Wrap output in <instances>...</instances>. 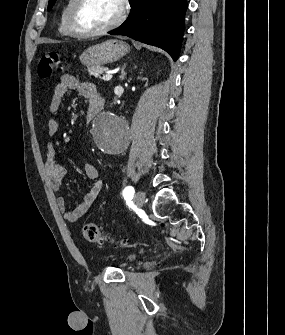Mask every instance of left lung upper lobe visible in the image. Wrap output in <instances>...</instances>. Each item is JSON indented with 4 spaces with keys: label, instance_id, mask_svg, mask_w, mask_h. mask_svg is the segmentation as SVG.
I'll return each mask as SVG.
<instances>
[{
    "label": "left lung upper lobe",
    "instance_id": "1",
    "mask_svg": "<svg viewBox=\"0 0 285 335\" xmlns=\"http://www.w3.org/2000/svg\"><path fill=\"white\" fill-rule=\"evenodd\" d=\"M55 2H56V0H49L48 11L53 7Z\"/></svg>",
    "mask_w": 285,
    "mask_h": 335
}]
</instances>
